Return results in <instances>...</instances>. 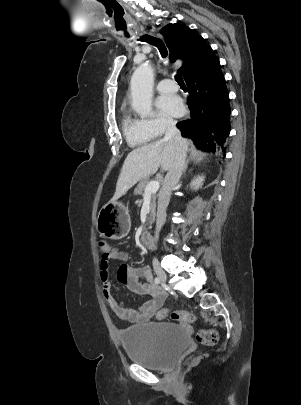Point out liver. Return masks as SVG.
<instances>
[{
	"label": "liver",
	"mask_w": 301,
	"mask_h": 405,
	"mask_svg": "<svg viewBox=\"0 0 301 405\" xmlns=\"http://www.w3.org/2000/svg\"><path fill=\"white\" fill-rule=\"evenodd\" d=\"M176 153V144L164 139L132 150L124 161L117 181L116 192L110 202H116L136 183L155 174L159 168H162L163 171L169 170Z\"/></svg>",
	"instance_id": "6515ba94"
}]
</instances>
